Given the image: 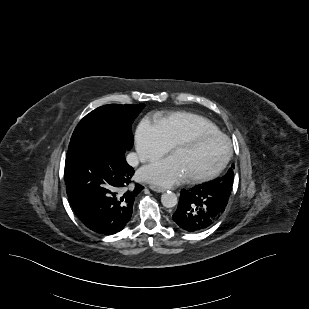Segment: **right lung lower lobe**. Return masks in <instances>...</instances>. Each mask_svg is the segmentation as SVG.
<instances>
[{
    "mask_svg": "<svg viewBox=\"0 0 309 309\" xmlns=\"http://www.w3.org/2000/svg\"><path fill=\"white\" fill-rule=\"evenodd\" d=\"M126 149L110 137L85 135L71 140L65 162L69 202L82 223L103 235L129 223L135 197L144 189L131 184L134 169Z\"/></svg>",
    "mask_w": 309,
    "mask_h": 309,
    "instance_id": "obj_1",
    "label": "right lung lower lobe"
}]
</instances>
